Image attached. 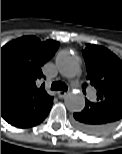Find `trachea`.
Listing matches in <instances>:
<instances>
[{"label":"trachea","instance_id":"3493384b","mask_svg":"<svg viewBox=\"0 0 122 154\" xmlns=\"http://www.w3.org/2000/svg\"><path fill=\"white\" fill-rule=\"evenodd\" d=\"M68 87L65 83L55 81L51 85V90H62L67 91Z\"/></svg>","mask_w":122,"mask_h":154}]
</instances>
